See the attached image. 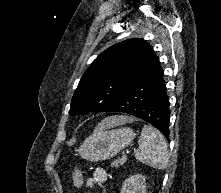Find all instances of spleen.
<instances>
[{"label": "spleen", "mask_w": 221, "mask_h": 193, "mask_svg": "<svg viewBox=\"0 0 221 193\" xmlns=\"http://www.w3.org/2000/svg\"><path fill=\"white\" fill-rule=\"evenodd\" d=\"M138 144L139 150L135 153L136 159L155 169L163 170L167 167L168 147L164 136L158 130L145 125Z\"/></svg>", "instance_id": "3e777b00"}]
</instances>
